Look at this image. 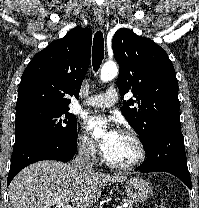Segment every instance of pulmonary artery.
Wrapping results in <instances>:
<instances>
[{"instance_id":"obj_1","label":"pulmonary artery","mask_w":199,"mask_h":208,"mask_svg":"<svg viewBox=\"0 0 199 208\" xmlns=\"http://www.w3.org/2000/svg\"><path fill=\"white\" fill-rule=\"evenodd\" d=\"M118 96L117 90L109 88L101 94L90 96L84 103L90 107L109 108L116 103Z\"/></svg>"}]
</instances>
